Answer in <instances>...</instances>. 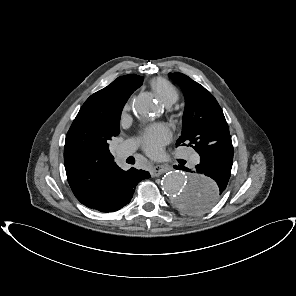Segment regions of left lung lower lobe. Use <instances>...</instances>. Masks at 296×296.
<instances>
[{"instance_id": "obj_1", "label": "left lung lower lobe", "mask_w": 296, "mask_h": 296, "mask_svg": "<svg viewBox=\"0 0 296 296\" xmlns=\"http://www.w3.org/2000/svg\"><path fill=\"white\" fill-rule=\"evenodd\" d=\"M218 146L211 149L206 154L200 156V163L190 170L183 165L175 166L176 169L193 173V177L209 176L216 184L215 191L204 193L199 199L194 198L187 204V211L199 213L211 208L224 193L233 163V146L231 137H227L217 142Z\"/></svg>"}]
</instances>
